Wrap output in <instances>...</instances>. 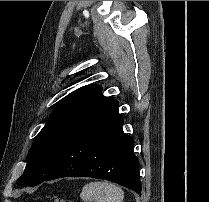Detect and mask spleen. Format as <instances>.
Returning a JSON list of instances; mask_svg holds the SVG:
<instances>
[{"instance_id":"1","label":"spleen","mask_w":209,"mask_h":202,"mask_svg":"<svg viewBox=\"0 0 209 202\" xmlns=\"http://www.w3.org/2000/svg\"><path fill=\"white\" fill-rule=\"evenodd\" d=\"M84 202H122L123 190L108 182H91L82 188L80 194Z\"/></svg>"}]
</instances>
